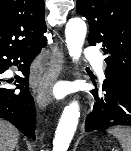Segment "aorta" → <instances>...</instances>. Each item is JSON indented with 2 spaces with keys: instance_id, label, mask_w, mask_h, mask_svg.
<instances>
[{
  "instance_id": "762f6f07",
  "label": "aorta",
  "mask_w": 131,
  "mask_h": 151,
  "mask_svg": "<svg viewBox=\"0 0 131 151\" xmlns=\"http://www.w3.org/2000/svg\"><path fill=\"white\" fill-rule=\"evenodd\" d=\"M87 32L86 24L79 18L70 19L66 25L65 36L69 55L73 60H79ZM80 117L77 101L65 107L55 131L52 151H67L76 131Z\"/></svg>"
}]
</instances>
